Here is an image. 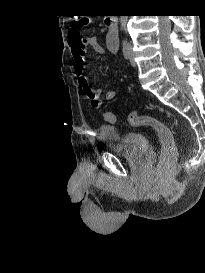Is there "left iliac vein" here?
I'll use <instances>...</instances> for the list:
<instances>
[{"instance_id":"4c4485c4","label":"left iliac vein","mask_w":205,"mask_h":273,"mask_svg":"<svg viewBox=\"0 0 205 273\" xmlns=\"http://www.w3.org/2000/svg\"><path fill=\"white\" fill-rule=\"evenodd\" d=\"M128 49H129V55H130V64H131L133 67H135V66H136V63H135V61H134V55H133L132 48L129 47Z\"/></svg>"}]
</instances>
